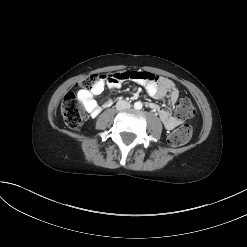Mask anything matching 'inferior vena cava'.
I'll return each instance as SVG.
<instances>
[{
  "instance_id": "obj_1",
  "label": "inferior vena cava",
  "mask_w": 247,
  "mask_h": 247,
  "mask_svg": "<svg viewBox=\"0 0 247 247\" xmlns=\"http://www.w3.org/2000/svg\"><path fill=\"white\" fill-rule=\"evenodd\" d=\"M130 107H131L130 103L125 101V100H120L116 104L117 110H125V109H128Z\"/></svg>"
}]
</instances>
